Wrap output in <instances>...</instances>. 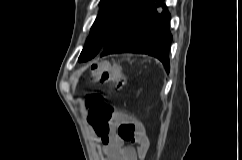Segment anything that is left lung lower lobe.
<instances>
[{"instance_id": "0a47b994", "label": "left lung lower lobe", "mask_w": 242, "mask_h": 160, "mask_svg": "<svg viewBox=\"0 0 242 160\" xmlns=\"http://www.w3.org/2000/svg\"><path fill=\"white\" fill-rule=\"evenodd\" d=\"M170 13L165 0H156L129 26L112 38L100 51L101 56L133 52L158 58L169 71Z\"/></svg>"}]
</instances>
